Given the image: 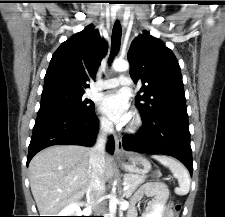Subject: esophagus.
Returning <instances> with one entry per match:
<instances>
[{"mask_svg":"<svg viewBox=\"0 0 225 217\" xmlns=\"http://www.w3.org/2000/svg\"><path fill=\"white\" fill-rule=\"evenodd\" d=\"M118 20H122V15H117ZM123 154V147H122V139L120 135H116L115 137V155L120 156Z\"/></svg>","mask_w":225,"mask_h":217,"instance_id":"obj_1","label":"esophagus"}]
</instances>
